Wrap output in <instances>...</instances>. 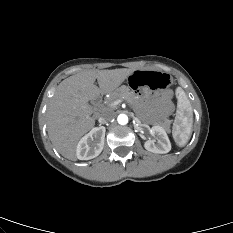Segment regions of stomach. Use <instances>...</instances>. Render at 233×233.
Returning <instances> with one entry per match:
<instances>
[{"mask_svg":"<svg viewBox=\"0 0 233 233\" xmlns=\"http://www.w3.org/2000/svg\"><path fill=\"white\" fill-rule=\"evenodd\" d=\"M172 77L160 70H135L126 79L127 88L141 97H150L153 93L169 87Z\"/></svg>","mask_w":233,"mask_h":233,"instance_id":"stomach-1","label":"stomach"}]
</instances>
